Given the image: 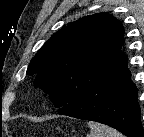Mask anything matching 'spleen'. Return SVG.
<instances>
[{
  "label": "spleen",
  "mask_w": 144,
  "mask_h": 137,
  "mask_svg": "<svg viewBox=\"0 0 144 137\" xmlns=\"http://www.w3.org/2000/svg\"><path fill=\"white\" fill-rule=\"evenodd\" d=\"M90 133L87 137H123L117 130L101 123L90 121L88 123Z\"/></svg>",
  "instance_id": "obj_1"
}]
</instances>
